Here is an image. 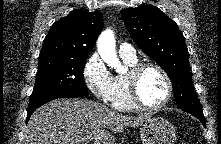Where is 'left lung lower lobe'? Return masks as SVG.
<instances>
[{"instance_id": "1", "label": "left lung lower lobe", "mask_w": 221, "mask_h": 144, "mask_svg": "<svg viewBox=\"0 0 221 144\" xmlns=\"http://www.w3.org/2000/svg\"><path fill=\"white\" fill-rule=\"evenodd\" d=\"M192 115H194L195 117H197L202 123L203 125L205 126L206 125V122H205V117L203 114H198V113H193V112H188Z\"/></svg>"}]
</instances>
